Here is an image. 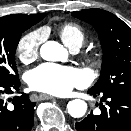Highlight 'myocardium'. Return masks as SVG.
<instances>
[{
  "label": "myocardium",
  "mask_w": 131,
  "mask_h": 131,
  "mask_svg": "<svg viewBox=\"0 0 131 131\" xmlns=\"http://www.w3.org/2000/svg\"><path fill=\"white\" fill-rule=\"evenodd\" d=\"M92 61H95V58H91Z\"/></svg>",
  "instance_id": "1"
}]
</instances>
